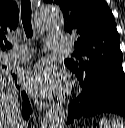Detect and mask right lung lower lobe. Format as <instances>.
<instances>
[{"instance_id": "right-lung-lower-lobe-1", "label": "right lung lower lobe", "mask_w": 125, "mask_h": 128, "mask_svg": "<svg viewBox=\"0 0 125 128\" xmlns=\"http://www.w3.org/2000/svg\"><path fill=\"white\" fill-rule=\"evenodd\" d=\"M13 77L16 79V76L14 74ZM17 88L19 89V86H17ZM22 98L24 100L22 105V115L25 119H28L31 113V105L25 92H22Z\"/></svg>"}]
</instances>
